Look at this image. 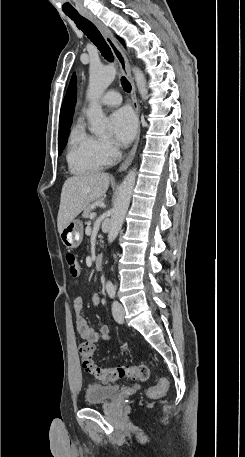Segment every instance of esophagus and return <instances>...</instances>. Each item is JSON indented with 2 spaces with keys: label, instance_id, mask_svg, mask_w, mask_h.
<instances>
[{
  "label": "esophagus",
  "instance_id": "obj_1",
  "mask_svg": "<svg viewBox=\"0 0 245 457\" xmlns=\"http://www.w3.org/2000/svg\"><path fill=\"white\" fill-rule=\"evenodd\" d=\"M81 15H83V17L90 20L97 27V29L99 30L101 35L104 37V40H106V43L111 48L114 56L116 57L119 65H120V68H121L123 74L126 75L128 81L130 82V84L132 86L131 99H132V104H133L134 110L138 116L139 110H138V102H137V98H136V87H135V83H134V80L131 75L130 64H129L128 58L126 56V53L120 47V45L118 44L117 40L114 38V36L110 32V30L107 27H105V25L102 22H100V20H98V18H96L94 15H92L91 13H88V12H81ZM139 138H140V122L138 120L136 140L134 142V145H133L132 150L129 153L128 157L120 165L119 172H123L124 170H126L129 167V165H131L133 158L135 156V153H136Z\"/></svg>",
  "mask_w": 245,
  "mask_h": 457
}]
</instances>
